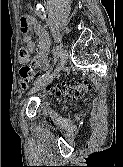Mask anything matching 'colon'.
<instances>
[{
	"instance_id": "obj_1",
	"label": "colon",
	"mask_w": 123,
	"mask_h": 167,
	"mask_svg": "<svg viewBox=\"0 0 123 167\" xmlns=\"http://www.w3.org/2000/svg\"><path fill=\"white\" fill-rule=\"evenodd\" d=\"M18 58L19 61L23 64L20 69V76L22 80L25 83L33 80L36 77V73L30 66L27 65L29 61V50L26 48H20L18 51ZM90 87V83L84 81L72 85H61L59 87H56L55 90L57 94L63 97L78 100L83 98L87 94Z\"/></svg>"
}]
</instances>
